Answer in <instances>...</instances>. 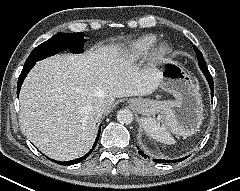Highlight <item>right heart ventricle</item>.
I'll use <instances>...</instances> for the list:
<instances>
[{"label": "right heart ventricle", "mask_w": 240, "mask_h": 191, "mask_svg": "<svg viewBox=\"0 0 240 191\" xmlns=\"http://www.w3.org/2000/svg\"><path fill=\"white\" fill-rule=\"evenodd\" d=\"M157 42V36L153 34L145 35L139 37L130 43L128 47V55L131 58H141L148 53V51Z\"/></svg>", "instance_id": "e07e8e85"}]
</instances>
